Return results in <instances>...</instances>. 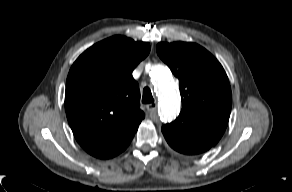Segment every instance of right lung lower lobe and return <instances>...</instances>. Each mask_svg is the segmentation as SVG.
I'll use <instances>...</instances> for the list:
<instances>
[{
    "label": "right lung lower lobe",
    "mask_w": 292,
    "mask_h": 192,
    "mask_svg": "<svg viewBox=\"0 0 292 192\" xmlns=\"http://www.w3.org/2000/svg\"><path fill=\"white\" fill-rule=\"evenodd\" d=\"M134 135L126 138L125 140L119 141L114 144L107 145H84L82 146L85 151L91 154L94 157L100 159L112 158L122 151H124L130 144Z\"/></svg>",
    "instance_id": "obj_1"
}]
</instances>
